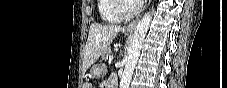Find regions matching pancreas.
Listing matches in <instances>:
<instances>
[{"mask_svg":"<svg viewBox=\"0 0 227 88\" xmlns=\"http://www.w3.org/2000/svg\"><path fill=\"white\" fill-rule=\"evenodd\" d=\"M111 53H112L111 49L107 48L105 51L102 52V55H101L102 59L108 60V58L111 56Z\"/></svg>","mask_w":227,"mask_h":88,"instance_id":"1","label":"pancreas"}]
</instances>
